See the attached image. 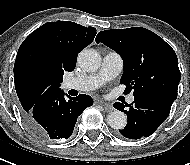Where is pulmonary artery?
<instances>
[{
	"label": "pulmonary artery",
	"mask_w": 190,
	"mask_h": 165,
	"mask_svg": "<svg viewBox=\"0 0 190 165\" xmlns=\"http://www.w3.org/2000/svg\"><path fill=\"white\" fill-rule=\"evenodd\" d=\"M123 69V60L116 52H108L104 55L98 72L90 75L71 77L64 81L65 89L79 91H90L98 88L103 83L114 79ZM133 95L128 96L127 102L133 103Z\"/></svg>",
	"instance_id": "1"
}]
</instances>
